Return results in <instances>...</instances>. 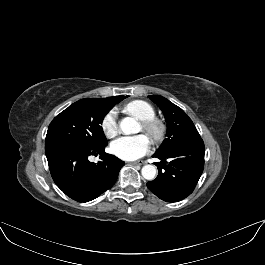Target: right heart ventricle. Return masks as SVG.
Segmentation results:
<instances>
[{
    "label": "right heart ventricle",
    "mask_w": 265,
    "mask_h": 265,
    "mask_svg": "<svg viewBox=\"0 0 265 265\" xmlns=\"http://www.w3.org/2000/svg\"><path fill=\"white\" fill-rule=\"evenodd\" d=\"M124 110L141 121L151 120L156 116L154 107L144 100H133L125 105Z\"/></svg>",
    "instance_id": "right-heart-ventricle-1"
}]
</instances>
